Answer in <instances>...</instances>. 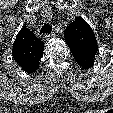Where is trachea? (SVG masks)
<instances>
[{"label": "trachea", "instance_id": "trachea-1", "mask_svg": "<svg viewBox=\"0 0 113 113\" xmlns=\"http://www.w3.org/2000/svg\"><path fill=\"white\" fill-rule=\"evenodd\" d=\"M52 31V26L50 24H45L40 29V34H50Z\"/></svg>", "mask_w": 113, "mask_h": 113}]
</instances>
